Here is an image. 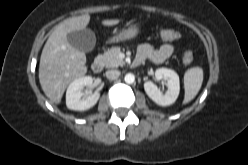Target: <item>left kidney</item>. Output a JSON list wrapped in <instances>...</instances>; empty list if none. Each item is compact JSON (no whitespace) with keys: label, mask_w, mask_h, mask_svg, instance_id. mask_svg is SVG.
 Instances as JSON below:
<instances>
[{"label":"left kidney","mask_w":248,"mask_h":165,"mask_svg":"<svg viewBox=\"0 0 248 165\" xmlns=\"http://www.w3.org/2000/svg\"><path fill=\"white\" fill-rule=\"evenodd\" d=\"M155 77L157 80L164 79L166 81V85L168 87L167 92L163 94L152 81H147L144 83L146 94L160 106H168L173 104L176 101L180 91L178 74L171 69L159 68L155 71Z\"/></svg>","instance_id":"obj_1"}]
</instances>
